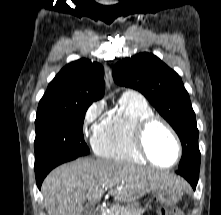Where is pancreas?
Wrapping results in <instances>:
<instances>
[{"label":"pancreas","instance_id":"obj_1","mask_svg":"<svg viewBox=\"0 0 221 215\" xmlns=\"http://www.w3.org/2000/svg\"><path fill=\"white\" fill-rule=\"evenodd\" d=\"M140 212L141 210L131 212L128 208H124L123 206L113 205L104 215H140Z\"/></svg>","mask_w":221,"mask_h":215}]
</instances>
